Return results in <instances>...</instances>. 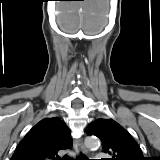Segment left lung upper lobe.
<instances>
[{"label":"left lung upper lobe","mask_w":160,"mask_h":160,"mask_svg":"<svg viewBox=\"0 0 160 160\" xmlns=\"http://www.w3.org/2000/svg\"><path fill=\"white\" fill-rule=\"evenodd\" d=\"M86 133L100 138L103 152L113 156L108 160H146L130 133L112 119L92 122L86 128Z\"/></svg>","instance_id":"5c2ea615"}]
</instances>
